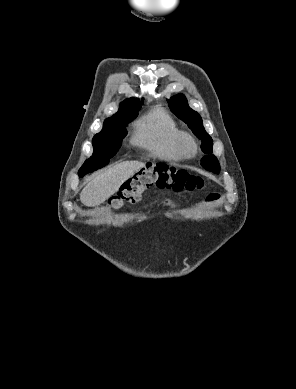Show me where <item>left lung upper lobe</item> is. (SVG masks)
<instances>
[{
  "label": "left lung upper lobe",
  "mask_w": 296,
  "mask_h": 389,
  "mask_svg": "<svg viewBox=\"0 0 296 389\" xmlns=\"http://www.w3.org/2000/svg\"><path fill=\"white\" fill-rule=\"evenodd\" d=\"M167 101L169 102L171 111L183 120L192 132L202 140V151L206 154H210L212 152L213 141L204 129L200 115L188 106L185 96L183 94H178L167 99ZM201 165L208 171H212L216 174L219 173L220 166L214 155L204 156Z\"/></svg>",
  "instance_id": "5c2ea615"
}]
</instances>
